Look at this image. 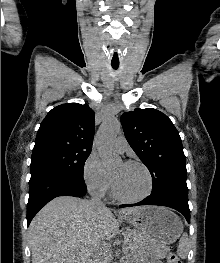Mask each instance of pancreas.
<instances>
[{"label": "pancreas", "mask_w": 220, "mask_h": 263, "mask_svg": "<svg viewBox=\"0 0 220 263\" xmlns=\"http://www.w3.org/2000/svg\"><path fill=\"white\" fill-rule=\"evenodd\" d=\"M139 233L137 230H131V229H127L124 232V245L128 248V249H135L139 247ZM151 250H153V252L161 258H164L167 253L170 251L169 248L165 247V246H153L150 248ZM107 254L105 253L103 255V257L101 259H98L95 261V263H106L105 259H106Z\"/></svg>", "instance_id": "obj_1"}]
</instances>
